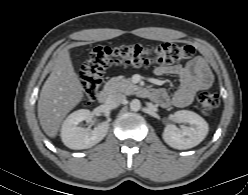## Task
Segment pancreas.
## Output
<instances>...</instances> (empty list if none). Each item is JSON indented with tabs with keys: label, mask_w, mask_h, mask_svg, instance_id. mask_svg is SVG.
<instances>
[{
	"label": "pancreas",
	"mask_w": 248,
	"mask_h": 195,
	"mask_svg": "<svg viewBox=\"0 0 248 195\" xmlns=\"http://www.w3.org/2000/svg\"><path fill=\"white\" fill-rule=\"evenodd\" d=\"M105 87L112 93L121 92L127 95L132 94L137 89V86L134 85L129 79L122 77L111 78L106 83Z\"/></svg>",
	"instance_id": "cf45deb5"
}]
</instances>
